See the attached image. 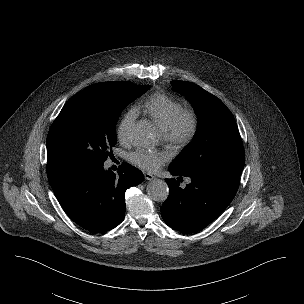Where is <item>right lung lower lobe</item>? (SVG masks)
I'll return each mask as SVG.
<instances>
[{"label": "right lung lower lobe", "instance_id": "right-lung-lower-lobe-1", "mask_svg": "<svg viewBox=\"0 0 304 304\" xmlns=\"http://www.w3.org/2000/svg\"><path fill=\"white\" fill-rule=\"evenodd\" d=\"M144 180L143 173L128 163L118 175L103 165L79 170L51 185L66 214L84 229L100 233L119 225L125 215V192Z\"/></svg>", "mask_w": 304, "mask_h": 304}]
</instances>
